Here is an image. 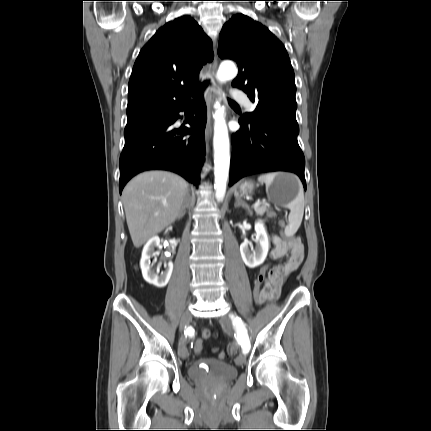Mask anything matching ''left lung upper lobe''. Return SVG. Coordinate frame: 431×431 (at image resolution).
Wrapping results in <instances>:
<instances>
[{
    "label": "left lung upper lobe",
    "instance_id": "5c2ea615",
    "mask_svg": "<svg viewBox=\"0 0 431 431\" xmlns=\"http://www.w3.org/2000/svg\"><path fill=\"white\" fill-rule=\"evenodd\" d=\"M218 55L237 62L232 85L257 104L242 121L273 117L297 124L294 71L284 45L268 28L245 15L233 16L220 33Z\"/></svg>",
    "mask_w": 431,
    "mask_h": 431
}]
</instances>
